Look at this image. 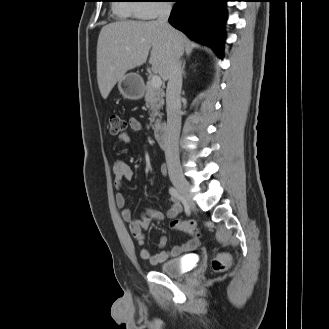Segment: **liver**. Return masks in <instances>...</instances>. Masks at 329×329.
<instances>
[{
	"label": "liver",
	"mask_w": 329,
	"mask_h": 329,
	"mask_svg": "<svg viewBox=\"0 0 329 329\" xmlns=\"http://www.w3.org/2000/svg\"><path fill=\"white\" fill-rule=\"evenodd\" d=\"M185 36L172 28L169 33L157 21H119L105 25L97 42V81L107 99L127 71L143 65L148 58L152 70L166 81L175 53L184 52Z\"/></svg>",
	"instance_id": "liver-1"
}]
</instances>
